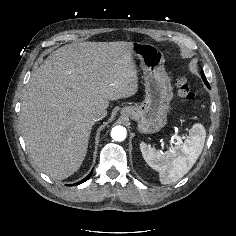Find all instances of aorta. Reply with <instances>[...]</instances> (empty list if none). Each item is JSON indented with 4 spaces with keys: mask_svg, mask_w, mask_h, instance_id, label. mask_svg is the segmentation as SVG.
I'll list each match as a JSON object with an SVG mask.
<instances>
[{
    "mask_svg": "<svg viewBox=\"0 0 236 236\" xmlns=\"http://www.w3.org/2000/svg\"><path fill=\"white\" fill-rule=\"evenodd\" d=\"M127 131L123 126H115L111 130V137L114 141H123L125 140Z\"/></svg>",
    "mask_w": 236,
    "mask_h": 236,
    "instance_id": "1",
    "label": "aorta"
}]
</instances>
